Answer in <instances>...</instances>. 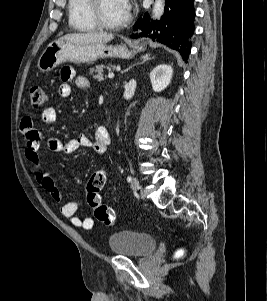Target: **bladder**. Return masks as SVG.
I'll return each mask as SVG.
<instances>
[{
	"mask_svg": "<svg viewBox=\"0 0 267 301\" xmlns=\"http://www.w3.org/2000/svg\"><path fill=\"white\" fill-rule=\"evenodd\" d=\"M158 242L152 235L122 230L110 235L109 250L117 255L130 257H145L157 248Z\"/></svg>",
	"mask_w": 267,
	"mask_h": 301,
	"instance_id": "obj_1",
	"label": "bladder"
}]
</instances>
